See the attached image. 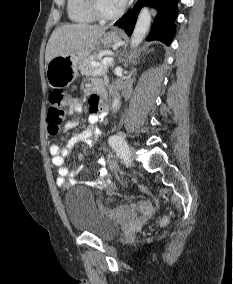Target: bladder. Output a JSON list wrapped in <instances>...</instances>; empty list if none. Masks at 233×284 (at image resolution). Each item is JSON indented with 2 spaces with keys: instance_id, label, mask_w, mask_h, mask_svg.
I'll list each match as a JSON object with an SVG mask.
<instances>
[{
  "instance_id": "1",
  "label": "bladder",
  "mask_w": 233,
  "mask_h": 284,
  "mask_svg": "<svg viewBox=\"0 0 233 284\" xmlns=\"http://www.w3.org/2000/svg\"><path fill=\"white\" fill-rule=\"evenodd\" d=\"M64 204L74 231L92 234L101 240H110L119 234V224L97 204L89 189L76 187L69 190Z\"/></svg>"
}]
</instances>
